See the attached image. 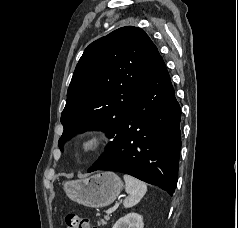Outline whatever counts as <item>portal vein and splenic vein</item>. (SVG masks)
Wrapping results in <instances>:
<instances>
[{
	"label": "portal vein and splenic vein",
	"mask_w": 238,
	"mask_h": 228,
	"mask_svg": "<svg viewBox=\"0 0 238 228\" xmlns=\"http://www.w3.org/2000/svg\"><path fill=\"white\" fill-rule=\"evenodd\" d=\"M115 209H116L115 207H114V208H110V209L107 211V213H108V214H111V213H113V212L115 211Z\"/></svg>",
	"instance_id": "1"
}]
</instances>
